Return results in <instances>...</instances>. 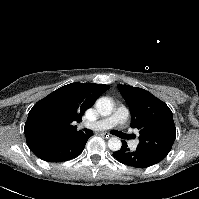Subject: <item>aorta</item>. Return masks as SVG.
I'll return each mask as SVG.
<instances>
[{
  "instance_id": "obj_1",
  "label": "aorta",
  "mask_w": 199,
  "mask_h": 199,
  "mask_svg": "<svg viewBox=\"0 0 199 199\" xmlns=\"http://www.w3.org/2000/svg\"><path fill=\"white\" fill-rule=\"evenodd\" d=\"M96 111L102 116H109L113 111V103L107 97L98 99L95 103ZM121 140L117 137H112L108 140V147L112 151H117L121 148Z\"/></svg>"
}]
</instances>
